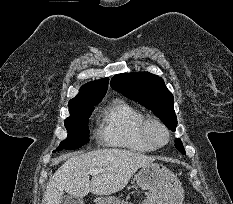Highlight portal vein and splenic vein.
Here are the masks:
<instances>
[{"label":"portal vein and splenic vein","mask_w":233,"mask_h":204,"mask_svg":"<svg viewBox=\"0 0 233 204\" xmlns=\"http://www.w3.org/2000/svg\"><path fill=\"white\" fill-rule=\"evenodd\" d=\"M104 171H105L104 169H91L89 171V174L90 175H98L99 173L104 172Z\"/></svg>","instance_id":"1"}]
</instances>
